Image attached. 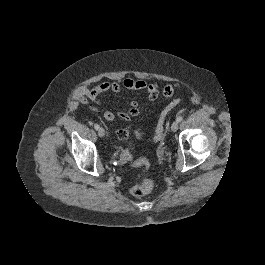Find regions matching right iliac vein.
Masks as SVG:
<instances>
[{"instance_id":"obj_1","label":"right iliac vein","mask_w":265,"mask_h":265,"mask_svg":"<svg viewBox=\"0 0 265 265\" xmlns=\"http://www.w3.org/2000/svg\"><path fill=\"white\" fill-rule=\"evenodd\" d=\"M98 135L100 137H104L105 136V130L102 127H99V129H98Z\"/></svg>"}]
</instances>
